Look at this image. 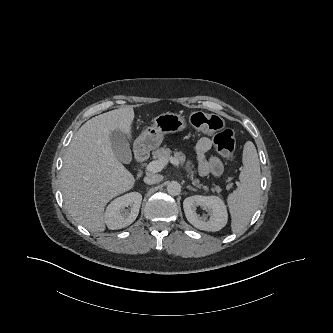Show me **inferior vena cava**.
I'll list each match as a JSON object with an SVG mask.
<instances>
[{"label":"inferior vena cava","instance_id":"602c4592","mask_svg":"<svg viewBox=\"0 0 333 333\" xmlns=\"http://www.w3.org/2000/svg\"><path fill=\"white\" fill-rule=\"evenodd\" d=\"M163 180V176L159 175V174H148L145 178H144V182L146 184H155V183H159Z\"/></svg>","mask_w":333,"mask_h":333}]
</instances>
